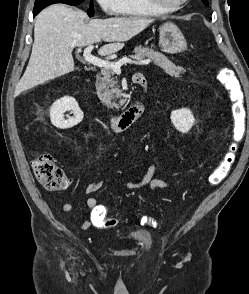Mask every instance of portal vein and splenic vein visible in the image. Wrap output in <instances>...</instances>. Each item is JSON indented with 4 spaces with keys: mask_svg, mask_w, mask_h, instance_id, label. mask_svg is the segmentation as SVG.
Returning a JSON list of instances; mask_svg holds the SVG:
<instances>
[{
    "mask_svg": "<svg viewBox=\"0 0 249 294\" xmlns=\"http://www.w3.org/2000/svg\"><path fill=\"white\" fill-rule=\"evenodd\" d=\"M94 46L88 45L87 48L84 51V59L88 62L91 63L94 66L97 67H103V68H110L116 73H121V66L124 64H136V65H148L151 60L150 59H145L143 60L142 58H137V61H133L131 59H121L118 62H110L106 60H102L98 57H95L94 55L91 54V51L93 50Z\"/></svg>",
    "mask_w": 249,
    "mask_h": 294,
    "instance_id": "portal-vein-and-splenic-vein-1",
    "label": "portal vein and splenic vein"
}]
</instances>
